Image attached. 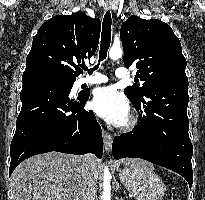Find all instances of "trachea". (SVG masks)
<instances>
[{
    "mask_svg": "<svg viewBox=\"0 0 205 200\" xmlns=\"http://www.w3.org/2000/svg\"><path fill=\"white\" fill-rule=\"evenodd\" d=\"M111 14L110 11H107L104 15L103 23H102V33H101V44L99 51V63L106 59L108 48L110 46L111 41ZM99 63L95 65L94 68L88 69L86 66L83 67L84 70L88 71L89 74H92L94 70L99 68Z\"/></svg>",
    "mask_w": 205,
    "mask_h": 200,
    "instance_id": "obj_1",
    "label": "trachea"
}]
</instances>
